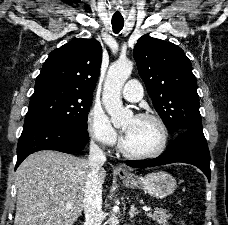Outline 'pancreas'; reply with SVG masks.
Instances as JSON below:
<instances>
[{
  "instance_id": "pancreas-1",
  "label": "pancreas",
  "mask_w": 228,
  "mask_h": 225,
  "mask_svg": "<svg viewBox=\"0 0 228 225\" xmlns=\"http://www.w3.org/2000/svg\"><path fill=\"white\" fill-rule=\"evenodd\" d=\"M152 221H156L158 225H168V221L172 215L167 213L166 209H155L154 213H147Z\"/></svg>"
}]
</instances>
